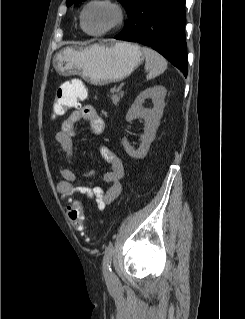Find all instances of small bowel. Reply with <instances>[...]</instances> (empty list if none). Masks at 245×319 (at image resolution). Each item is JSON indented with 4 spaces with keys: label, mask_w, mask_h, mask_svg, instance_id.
<instances>
[{
    "label": "small bowel",
    "mask_w": 245,
    "mask_h": 319,
    "mask_svg": "<svg viewBox=\"0 0 245 319\" xmlns=\"http://www.w3.org/2000/svg\"><path fill=\"white\" fill-rule=\"evenodd\" d=\"M82 85L80 79L73 78L64 82L59 89L74 92ZM81 120L89 123L94 134H102L105 130V121L94 106L84 105L71 112L62 121L60 130L55 136L56 143L62 148L69 163H72L74 159L73 141L77 135V125ZM100 153L110 166V171L102 177V182L109 184V188L103 190L96 182L78 183L74 170L66 167L61 170L62 181L57 185V191L63 200L75 195H83L88 201L94 202L98 210H103L107 204L113 202L120 195L122 189L120 179L124 175L122 162L109 146L103 145L100 148Z\"/></svg>",
    "instance_id": "c3829d8e"
}]
</instances>
